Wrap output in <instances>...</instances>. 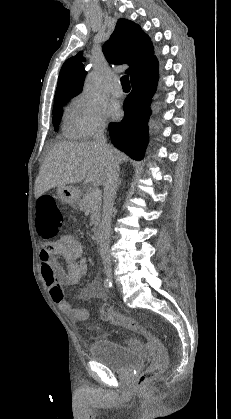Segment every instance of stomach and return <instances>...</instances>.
Segmentation results:
<instances>
[{
  "label": "stomach",
  "mask_w": 231,
  "mask_h": 419,
  "mask_svg": "<svg viewBox=\"0 0 231 419\" xmlns=\"http://www.w3.org/2000/svg\"><path fill=\"white\" fill-rule=\"evenodd\" d=\"M59 199L66 204H76L80 197V190L75 186H63L57 188Z\"/></svg>",
  "instance_id": "1"
}]
</instances>
